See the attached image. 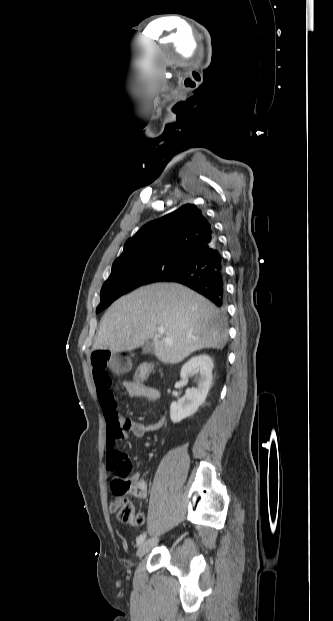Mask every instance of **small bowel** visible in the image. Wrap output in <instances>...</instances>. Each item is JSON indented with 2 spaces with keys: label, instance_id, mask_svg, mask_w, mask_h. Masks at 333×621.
I'll use <instances>...</instances> for the list:
<instances>
[{
  "label": "small bowel",
  "instance_id": "obj_1",
  "mask_svg": "<svg viewBox=\"0 0 333 621\" xmlns=\"http://www.w3.org/2000/svg\"><path fill=\"white\" fill-rule=\"evenodd\" d=\"M91 366L98 399L107 426V467L111 471L117 468H129L131 470V462L126 454L118 449V444L127 440L129 433L137 438H141L149 432L160 429L164 424V418L150 425L124 419L118 410L117 401L112 391V380L109 375L110 370L120 369V360L107 349H96L91 354ZM122 386L131 397L142 398L147 401H156L160 397L156 389L146 385L144 382H140L131 388L128 382L124 381ZM131 480L134 488L130 493L137 498H144L147 494L146 481L137 473L131 476Z\"/></svg>",
  "mask_w": 333,
  "mask_h": 621
}]
</instances>
